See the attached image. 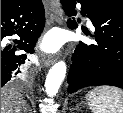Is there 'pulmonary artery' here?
Returning a JSON list of instances; mask_svg holds the SVG:
<instances>
[{"instance_id":"e3ab8cb5","label":"pulmonary artery","mask_w":123,"mask_h":113,"mask_svg":"<svg viewBox=\"0 0 123 113\" xmlns=\"http://www.w3.org/2000/svg\"><path fill=\"white\" fill-rule=\"evenodd\" d=\"M87 23H88L89 26H92V23L89 19L87 20Z\"/></svg>"}]
</instances>
